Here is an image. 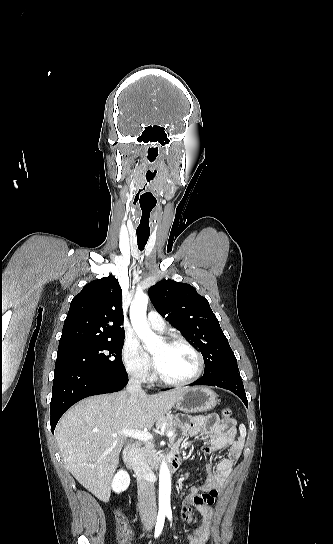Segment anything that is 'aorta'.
<instances>
[{"label": "aorta", "instance_id": "762f6f07", "mask_svg": "<svg viewBox=\"0 0 333 544\" xmlns=\"http://www.w3.org/2000/svg\"><path fill=\"white\" fill-rule=\"evenodd\" d=\"M149 297L147 294L136 293L130 306V319L134 331L148 351L157 349L161 338L153 333L147 323L146 310ZM171 476L167 463L162 462L159 471V507L170 509Z\"/></svg>", "mask_w": 333, "mask_h": 544}]
</instances>
